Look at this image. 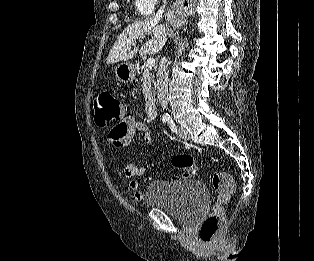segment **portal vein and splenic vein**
Masks as SVG:
<instances>
[{
    "label": "portal vein and splenic vein",
    "mask_w": 314,
    "mask_h": 261,
    "mask_svg": "<svg viewBox=\"0 0 314 261\" xmlns=\"http://www.w3.org/2000/svg\"><path fill=\"white\" fill-rule=\"evenodd\" d=\"M127 49H130V47H128ZM154 66H155V59L154 58H148V60L146 61V67L151 69Z\"/></svg>",
    "instance_id": "18ae733b"
}]
</instances>
